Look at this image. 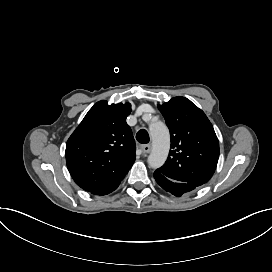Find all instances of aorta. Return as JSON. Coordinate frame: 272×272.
<instances>
[{
  "label": "aorta",
  "instance_id": "762f6f07",
  "mask_svg": "<svg viewBox=\"0 0 272 272\" xmlns=\"http://www.w3.org/2000/svg\"><path fill=\"white\" fill-rule=\"evenodd\" d=\"M150 138L152 139V152L148 157L149 165L160 167L167 159L170 148V137L167 126L162 122L150 125Z\"/></svg>",
  "mask_w": 272,
  "mask_h": 272
}]
</instances>
